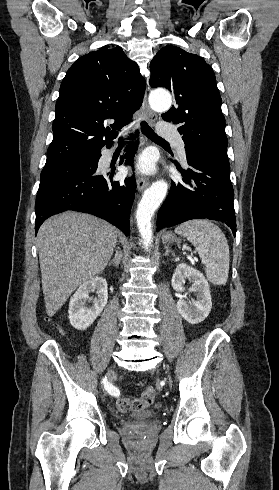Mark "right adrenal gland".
Returning <instances> with one entry per match:
<instances>
[{
	"instance_id": "obj_1",
	"label": "right adrenal gland",
	"mask_w": 279,
	"mask_h": 490,
	"mask_svg": "<svg viewBox=\"0 0 279 490\" xmlns=\"http://www.w3.org/2000/svg\"><path fill=\"white\" fill-rule=\"evenodd\" d=\"M116 254H115V258H113V260H109V264L108 266H116V268H119V264H121V260H122V252H120L119 248H116L115 250Z\"/></svg>"
}]
</instances>
